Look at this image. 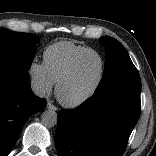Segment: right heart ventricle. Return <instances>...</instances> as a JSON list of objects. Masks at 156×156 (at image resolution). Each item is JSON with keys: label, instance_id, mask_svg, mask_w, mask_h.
Returning <instances> with one entry per match:
<instances>
[{"label": "right heart ventricle", "instance_id": "obj_1", "mask_svg": "<svg viewBox=\"0 0 156 156\" xmlns=\"http://www.w3.org/2000/svg\"><path fill=\"white\" fill-rule=\"evenodd\" d=\"M91 49L70 41H60L50 45L43 54L44 66L54 83L66 72L74 58Z\"/></svg>", "mask_w": 156, "mask_h": 156}]
</instances>
